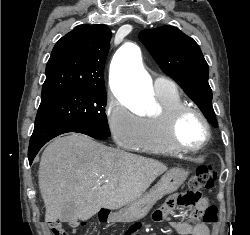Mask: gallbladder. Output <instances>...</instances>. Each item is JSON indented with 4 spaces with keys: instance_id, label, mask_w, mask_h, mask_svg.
<instances>
[{
    "instance_id": "gallbladder-1",
    "label": "gallbladder",
    "mask_w": 250,
    "mask_h": 235,
    "mask_svg": "<svg viewBox=\"0 0 250 235\" xmlns=\"http://www.w3.org/2000/svg\"><path fill=\"white\" fill-rule=\"evenodd\" d=\"M75 208L72 203L67 204L62 211L61 221L71 222L75 219Z\"/></svg>"
}]
</instances>
